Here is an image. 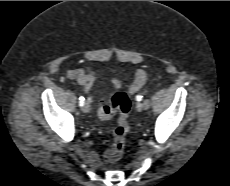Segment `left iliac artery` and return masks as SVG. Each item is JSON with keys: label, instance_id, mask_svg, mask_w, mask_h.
<instances>
[{"label": "left iliac artery", "instance_id": "44dca946", "mask_svg": "<svg viewBox=\"0 0 230 186\" xmlns=\"http://www.w3.org/2000/svg\"><path fill=\"white\" fill-rule=\"evenodd\" d=\"M142 97H143V96H141V95H137V96H136V100H137V101H141V100H142Z\"/></svg>", "mask_w": 230, "mask_h": 186}]
</instances>
